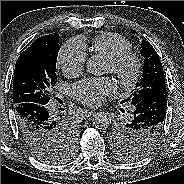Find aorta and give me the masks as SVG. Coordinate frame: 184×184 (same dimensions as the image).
Returning a JSON list of instances; mask_svg holds the SVG:
<instances>
[{"label": "aorta", "mask_w": 184, "mask_h": 184, "mask_svg": "<svg viewBox=\"0 0 184 184\" xmlns=\"http://www.w3.org/2000/svg\"><path fill=\"white\" fill-rule=\"evenodd\" d=\"M86 70L92 75L100 76L103 74V65L95 58H90L86 62ZM112 117L107 112H97L93 115V125L95 128L105 130L110 127Z\"/></svg>", "instance_id": "aorta-1"}]
</instances>
